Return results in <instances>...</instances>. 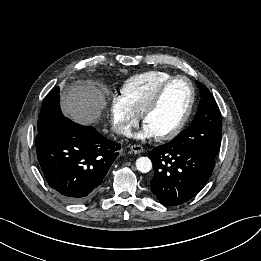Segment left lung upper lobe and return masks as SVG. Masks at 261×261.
Returning <instances> with one entry per match:
<instances>
[{
	"label": "left lung upper lobe",
	"mask_w": 261,
	"mask_h": 261,
	"mask_svg": "<svg viewBox=\"0 0 261 261\" xmlns=\"http://www.w3.org/2000/svg\"><path fill=\"white\" fill-rule=\"evenodd\" d=\"M201 100L191 125L173 140L216 157L221 143L222 122L219 107L207 87L196 82Z\"/></svg>",
	"instance_id": "5c2ea615"
}]
</instances>
